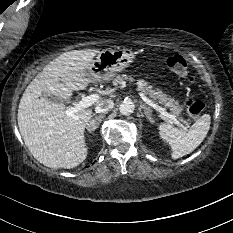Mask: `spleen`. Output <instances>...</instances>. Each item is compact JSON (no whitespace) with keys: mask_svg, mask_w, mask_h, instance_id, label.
Segmentation results:
<instances>
[{"mask_svg":"<svg viewBox=\"0 0 233 233\" xmlns=\"http://www.w3.org/2000/svg\"><path fill=\"white\" fill-rule=\"evenodd\" d=\"M210 120L209 114H203L187 132L169 123L160 124L159 135L170 144L171 157L177 159L194 151L205 139L210 128Z\"/></svg>","mask_w":233,"mask_h":233,"instance_id":"obj_1","label":"spleen"}]
</instances>
